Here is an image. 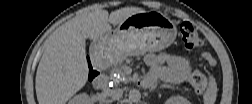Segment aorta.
<instances>
[{"mask_svg": "<svg viewBox=\"0 0 252 104\" xmlns=\"http://www.w3.org/2000/svg\"><path fill=\"white\" fill-rule=\"evenodd\" d=\"M128 98L130 102L137 103L141 99V93L137 89H132L129 91Z\"/></svg>", "mask_w": 252, "mask_h": 104, "instance_id": "1", "label": "aorta"}]
</instances>
